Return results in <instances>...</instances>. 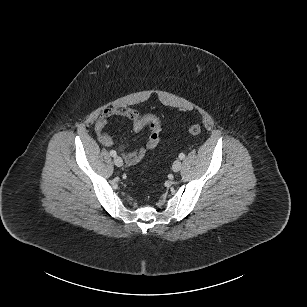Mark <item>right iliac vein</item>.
<instances>
[{"mask_svg":"<svg viewBox=\"0 0 307 307\" xmlns=\"http://www.w3.org/2000/svg\"><path fill=\"white\" fill-rule=\"evenodd\" d=\"M114 164L117 166V167H121L123 165V160L121 157L119 156H115L114 157Z\"/></svg>","mask_w":307,"mask_h":307,"instance_id":"1","label":"right iliac vein"}]
</instances>
